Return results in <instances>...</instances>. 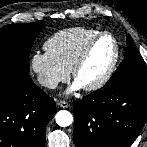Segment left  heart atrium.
Instances as JSON below:
<instances>
[{
  "label": "left heart atrium",
  "mask_w": 147,
  "mask_h": 147,
  "mask_svg": "<svg viewBox=\"0 0 147 147\" xmlns=\"http://www.w3.org/2000/svg\"><path fill=\"white\" fill-rule=\"evenodd\" d=\"M81 87H82V85H81L79 82L75 81V82L73 83L72 90H78V89H80Z\"/></svg>",
  "instance_id": "left-heart-atrium-1"
}]
</instances>
